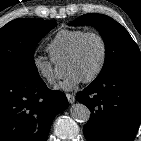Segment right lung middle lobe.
Segmentation results:
<instances>
[{
	"instance_id": "right-lung-middle-lobe-1",
	"label": "right lung middle lobe",
	"mask_w": 141,
	"mask_h": 141,
	"mask_svg": "<svg viewBox=\"0 0 141 141\" xmlns=\"http://www.w3.org/2000/svg\"><path fill=\"white\" fill-rule=\"evenodd\" d=\"M57 24L50 20L15 19L0 29V75H38L36 44Z\"/></svg>"
}]
</instances>
